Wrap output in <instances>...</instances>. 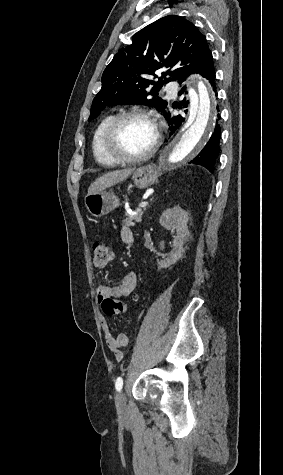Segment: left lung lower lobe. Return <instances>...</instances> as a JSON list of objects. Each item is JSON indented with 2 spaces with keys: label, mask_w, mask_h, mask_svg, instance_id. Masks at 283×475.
<instances>
[{
  "label": "left lung lower lobe",
  "mask_w": 283,
  "mask_h": 475,
  "mask_svg": "<svg viewBox=\"0 0 283 475\" xmlns=\"http://www.w3.org/2000/svg\"><path fill=\"white\" fill-rule=\"evenodd\" d=\"M192 73H200L202 74L203 77L209 80L210 85L213 88V91L216 92V85H215V70L213 67V57H209L206 61H204L202 64H200L198 67L195 69L189 71L187 74L182 76L177 80L179 84H181L183 81L186 80V77ZM185 87L182 88V90L179 92H183ZM215 96H217V93H215ZM186 103V102H185ZM175 108H181L180 106L175 107ZM218 109V107H217ZM164 116L168 119V124L171 126L170 127V135H172L179 127L181 126L182 122L185 121L184 118H182L180 115H173L169 107H167L164 111ZM218 118L220 116L218 115ZM220 136H221V128L218 124H216V127L214 129V132L205 145V147L202 149V151L189 163H194V164H199L204 167H206L208 170L213 172L214 164L216 161V158L219 154V141H220Z\"/></svg>",
  "instance_id": "1"
}]
</instances>
